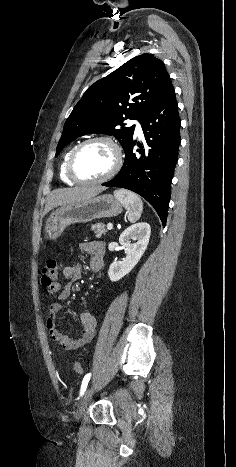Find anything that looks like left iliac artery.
Returning a JSON list of instances; mask_svg holds the SVG:
<instances>
[{
  "instance_id": "obj_1",
  "label": "left iliac artery",
  "mask_w": 236,
  "mask_h": 467,
  "mask_svg": "<svg viewBox=\"0 0 236 467\" xmlns=\"http://www.w3.org/2000/svg\"><path fill=\"white\" fill-rule=\"evenodd\" d=\"M90 377H91V373H88L85 375L83 381H82V385H81V389H80V396H82L87 388V385H88V382L90 380Z\"/></svg>"
}]
</instances>
